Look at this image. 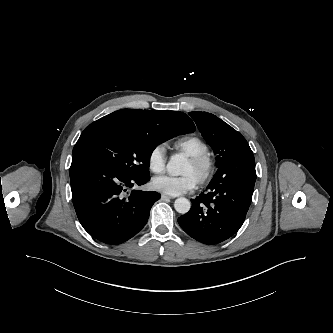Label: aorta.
Returning <instances> with one entry per match:
<instances>
[{
    "label": "aorta",
    "mask_w": 333,
    "mask_h": 333,
    "mask_svg": "<svg viewBox=\"0 0 333 333\" xmlns=\"http://www.w3.org/2000/svg\"><path fill=\"white\" fill-rule=\"evenodd\" d=\"M185 167L184 158L180 155H173L167 163V171L172 176L182 175ZM190 201L184 197L175 200L174 208L178 213L185 214L190 210Z\"/></svg>",
    "instance_id": "1"
}]
</instances>
